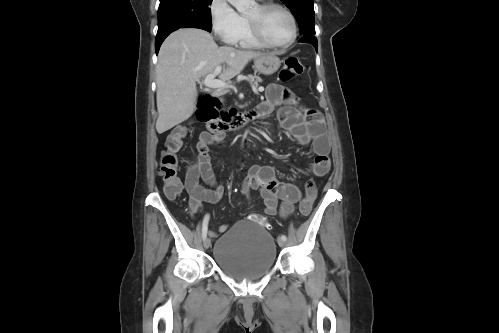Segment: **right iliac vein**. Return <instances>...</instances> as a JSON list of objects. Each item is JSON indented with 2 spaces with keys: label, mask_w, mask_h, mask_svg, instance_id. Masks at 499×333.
<instances>
[{
  "label": "right iliac vein",
  "mask_w": 499,
  "mask_h": 333,
  "mask_svg": "<svg viewBox=\"0 0 499 333\" xmlns=\"http://www.w3.org/2000/svg\"><path fill=\"white\" fill-rule=\"evenodd\" d=\"M203 245L205 249H208L211 246V240L209 238H205Z\"/></svg>",
  "instance_id": "right-iliac-vein-1"
}]
</instances>
